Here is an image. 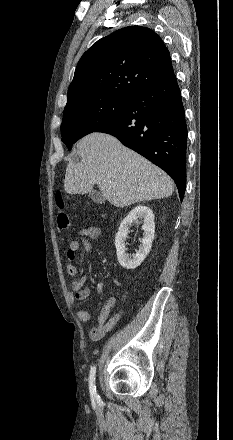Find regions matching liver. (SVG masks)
Returning <instances> with one entry per match:
<instances>
[{
    "mask_svg": "<svg viewBox=\"0 0 233 440\" xmlns=\"http://www.w3.org/2000/svg\"><path fill=\"white\" fill-rule=\"evenodd\" d=\"M80 162L70 161L64 188L69 194L91 192L97 184L116 207L166 198L174 191L173 180L159 167L125 147L115 137L93 132L77 143Z\"/></svg>",
    "mask_w": 233,
    "mask_h": 440,
    "instance_id": "liver-1",
    "label": "liver"
}]
</instances>
